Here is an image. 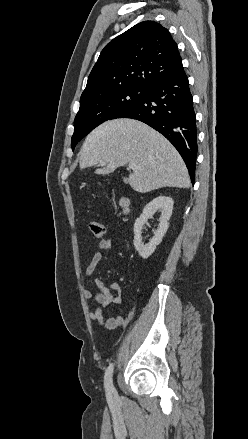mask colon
Instances as JSON below:
<instances>
[{
    "instance_id": "colon-1",
    "label": "colon",
    "mask_w": 248,
    "mask_h": 439,
    "mask_svg": "<svg viewBox=\"0 0 248 439\" xmlns=\"http://www.w3.org/2000/svg\"><path fill=\"white\" fill-rule=\"evenodd\" d=\"M89 229L92 235L96 238H101L105 233L104 225L97 220H93L89 223Z\"/></svg>"
}]
</instances>
